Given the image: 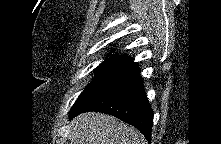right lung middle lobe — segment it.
<instances>
[{"label":"right lung middle lobe","mask_w":221,"mask_h":144,"mask_svg":"<svg viewBox=\"0 0 221 144\" xmlns=\"http://www.w3.org/2000/svg\"><path fill=\"white\" fill-rule=\"evenodd\" d=\"M137 67L138 65L127 55L111 56L105 59L95 69L96 76L80 94L70 111V115L88 107L97 98L122 82Z\"/></svg>","instance_id":"dd1d6c3e"}]
</instances>
